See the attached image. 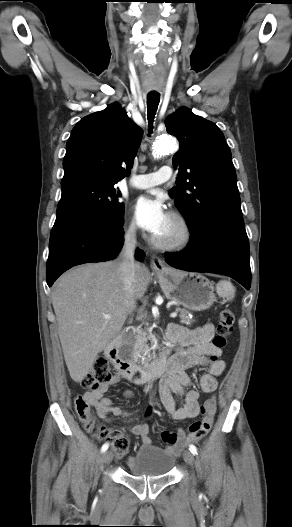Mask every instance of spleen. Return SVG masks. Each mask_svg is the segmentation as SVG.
<instances>
[{
  "label": "spleen",
  "instance_id": "spleen-1",
  "mask_svg": "<svg viewBox=\"0 0 292 527\" xmlns=\"http://www.w3.org/2000/svg\"><path fill=\"white\" fill-rule=\"evenodd\" d=\"M216 292L220 297L232 300L235 296V287L230 281L221 280L216 285Z\"/></svg>",
  "mask_w": 292,
  "mask_h": 527
}]
</instances>
